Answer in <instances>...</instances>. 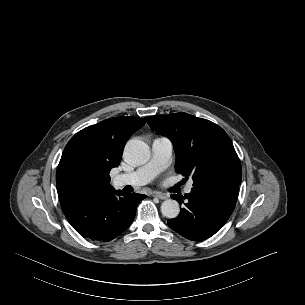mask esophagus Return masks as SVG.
Here are the masks:
<instances>
[{
  "mask_svg": "<svg viewBox=\"0 0 305 305\" xmlns=\"http://www.w3.org/2000/svg\"><path fill=\"white\" fill-rule=\"evenodd\" d=\"M153 196H154V197H157V198H159V199H161V200H165V199L168 198L167 195H165V194H163V193H159V192H154Z\"/></svg>",
  "mask_w": 305,
  "mask_h": 305,
  "instance_id": "obj_1",
  "label": "esophagus"
}]
</instances>
